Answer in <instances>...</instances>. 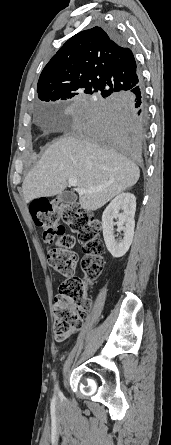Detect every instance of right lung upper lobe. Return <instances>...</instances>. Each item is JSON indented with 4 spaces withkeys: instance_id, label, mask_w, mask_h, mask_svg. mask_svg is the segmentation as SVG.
<instances>
[{
    "instance_id": "cb5924a9",
    "label": "right lung upper lobe",
    "mask_w": 171,
    "mask_h": 445,
    "mask_svg": "<svg viewBox=\"0 0 171 445\" xmlns=\"http://www.w3.org/2000/svg\"><path fill=\"white\" fill-rule=\"evenodd\" d=\"M141 83L134 55L102 27L71 37L43 69L37 85L42 101L79 93L122 95Z\"/></svg>"
}]
</instances>
